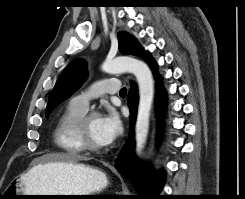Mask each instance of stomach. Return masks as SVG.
Returning <instances> with one entry per match:
<instances>
[{
  "mask_svg": "<svg viewBox=\"0 0 245 199\" xmlns=\"http://www.w3.org/2000/svg\"><path fill=\"white\" fill-rule=\"evenodd\" d=\"M54 170L58 173H52ZM107 184L108 179L103 171L75 162L38 166L21 179L11 182L5 191L10 189L13 195H92L91 193L102 190ZM60 198L78 197H37V199Z\"/></svg>",
  "mask_w": 245,
  "mask_h": 199,
  "instance_id": "stomach-1",
  "label": "stomach"
}]
</instances>
